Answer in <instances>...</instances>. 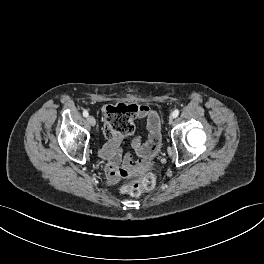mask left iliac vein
<instances>
[{"label":"left iliac vein","instance_id":"left-iliac-vein-1","mask_svg":"<svg viewBox=\"0 0 264 264\" xmlns=\"http://www.w3.org/2000/svg\"><path fill=\"white\" fill-rule=\"evenodd\" d=\"M169 124H170V125H173V124H174V118H173V117H171V118L169 119Z\"/></svg>","mask_w":264,"mask_h":264}]
</instances>
